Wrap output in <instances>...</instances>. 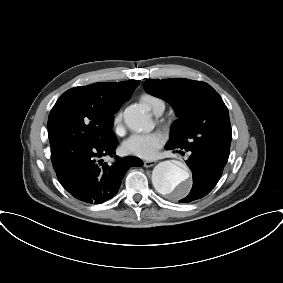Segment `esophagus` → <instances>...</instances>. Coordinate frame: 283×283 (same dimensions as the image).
<instances>
[{
    "instance_id": "34e87169",
    "label": "esophagus",
    "mask_w": 283,
    "mask_h": 283,
    "mask_svg": "<svg viewBox=\"0 0 283 283\" xmlns=\"http://www.w3.org/2000/svg\"><path fill=\"white\" fill-rule=\"evenodd\" d=\"M157 163L156 160H152V161H144V167L148 168V167H152Z\"/></svg>"
}]
</instances>
